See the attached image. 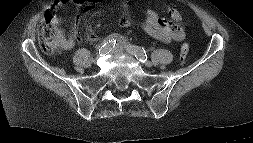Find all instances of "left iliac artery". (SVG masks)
I'll use <instances>...</instances> for the list:
<instances>
[{
  "instance_id": "1",
  "label": "left iliac artery",
  "mask_w": 253,
  "mask_h": 143,
  "mask_svg": "<svg viewBox=\"0 0 253 143\" xmlns=\"http://www.w3.org/2000/svg\"><path fill=\"white\" fill-rule=\"evenodd\" d=\"M132 54L135 55V57L143 63L147 61L148 57L144 48H141L138 46H132Z\"/></svg>"
}]
</instances>
